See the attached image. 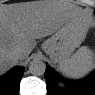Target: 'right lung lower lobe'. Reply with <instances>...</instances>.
Returning <instances> with one entry per match:
<instances>
[{
  "instance_id": "1",
  "label": "right lung lower lobe",
  "mask_w": 95,
  "mask_h": 95,
  "mask_svg": "<svg viewBox=\"0 0 95 95\" xmlns=\"http://www.w3.org/2000/svg\"><path fill=\"white\" fill-rule=\"evenodd\" d=\"M23 73L24 68L15 67L1 79V84L6 87L8 92L17 93L19 91V84Z\"/></svg>"
}]
</instances>
